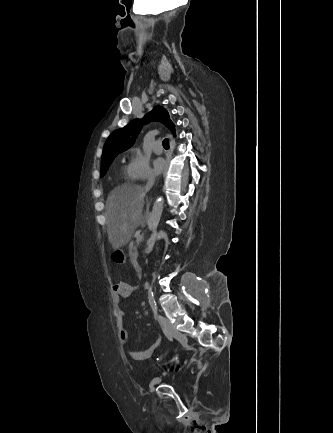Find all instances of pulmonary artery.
Returning <instances> with one entry per match:
<instances>
[{"mask_svg":"<svg viewBox=\"0 0 333 433\" xmlns=\"http://www.w3.org/2000/svg\"><path fill=\"white\" fill-rule=\"evenodd\" d=\"M153 151H154V153L157 154V155L162 154V153H163V147H162V144H161L160 142H157V143L155 144V146H154Z\"/></svg>","mask_w":333,"mask_h":433,"instance_id":"pulmonary-artery-1","label":"pulmonary artery"}]
</instances>
